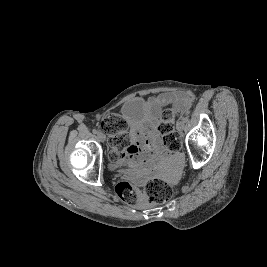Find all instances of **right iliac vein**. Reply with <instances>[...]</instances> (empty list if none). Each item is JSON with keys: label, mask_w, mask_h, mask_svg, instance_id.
<instances>
[{"label": "right iliac vein", "mask_w": 267, "mask_h": 267, "mask_svg": "<svg viewBox=\"0 0 267 267\" xmlns=\"http://www.w3.org/2000/svg\"><path fill=\"white\" fill-rule=\"evenodd\" d=\"M98 138L103 142V141H105L106 136H105V134H103L102 132H99V133H98Z\"/></svg>", "instance_id": "right-iliac-vein-1"}]
</instances>
